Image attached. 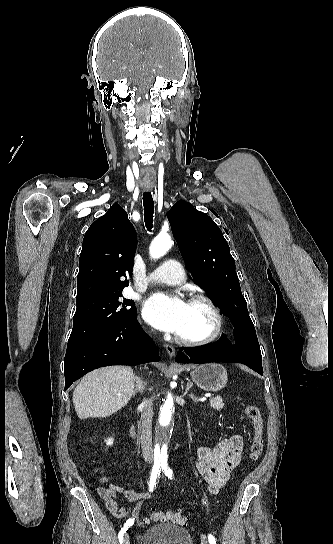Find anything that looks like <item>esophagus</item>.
<instances>
[{"mask_svg": "<svg viewBox=\"0 0 333 544\" xmlns=\"http://www.w3.org/2000/svg\"><path fill=\"white\" fill-rule=\"evenodd\" d=\"M165 350L167 351L168 355L170 357H174L175 354H176V351H175V348L169 344H166L165 346Z\"/></svg>", "mask_w": 333, "mask_h": 544, "instance_id": "esophagus-1", "label": "esophagus"}]
</instances>
